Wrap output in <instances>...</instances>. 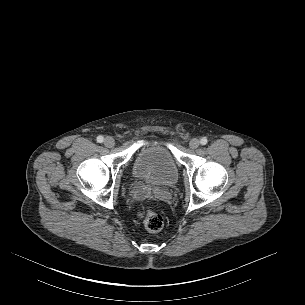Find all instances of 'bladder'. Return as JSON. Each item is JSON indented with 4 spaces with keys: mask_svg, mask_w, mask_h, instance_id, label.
<instances>
[{
    "mask_svg": "<svg viewBox=\"0 0 305 305\" xmlns=\"http://www.w3.org/2000/svg\"><path fill=\"white\" fill-rule=\"evenodd\" d=\"M133 175L150 188L171 187L178 181V167L169 148L162 142L142 146L133 162Z\"/></svg>",
    "mask_w": 305,
    "mask_h": 305,
    "instance_id": "31cf9c89",
    "label": "bladder"
}]
</instances>
